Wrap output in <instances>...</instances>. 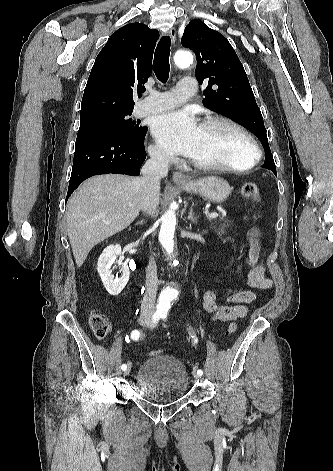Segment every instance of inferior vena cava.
I'll use <instances>...</instances> for the list:
<instances>
[{"label": "inferior vena cava", "instance_id": "602c4592", "mask_svg": "<svg viewBox=\"0 0 333 471\" xmlns=\"http://www.w3.org/2000/svg\"><path fill=\"white\" fill-rule=\"evenodd\" d=\"M169 168V154L155 150L150 153V159L141 169V210L154 215L159 204L160 179L167 176ZM158 288L157 266L151 258L146 268V291L142 300V313L152 314L155 306Z\"/></svg>", "mask_w": 333, "mask_h": 471}]
</instances>
